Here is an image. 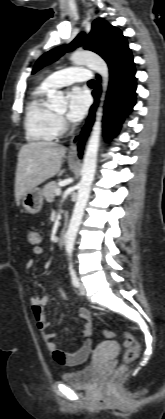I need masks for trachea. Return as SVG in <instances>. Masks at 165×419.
Instances as JSON below:
<instances>
[{"label": "trachea", "instance_id": "3493384b", "mask_svg": "<svg viewBox=\"0 0 165 419\" xmlns=\"http://www.w3.org/2000/svg\"><path fill=\"white\" fill-rule=\"evenodd\" d=\"M88 84H89V85H94V84H96V82H95L94 80H90V81L88 82Z\"/></svg>", "mask_w": 165, "mask_h": 419}]
</instances>
